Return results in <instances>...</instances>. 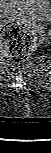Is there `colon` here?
Wrapping results in <instances>:
<instances>
[{
  "mask_svg": "<svg viewBox=\"0 0 51 153\" xmlns=\"http://www.w3.org/2000/svg\"><path fill=\"white\" fill-rule=\"evenodd\" d=\"M36 45V35L18 21H11L2 30V49L5 56L13 62L28 58Z\"/></svg>",
  "mask_w": 51,
  "mask_h": 153,
  "instance_id": "5ec220e1",
  "label": "colon"
}]
</instances>
